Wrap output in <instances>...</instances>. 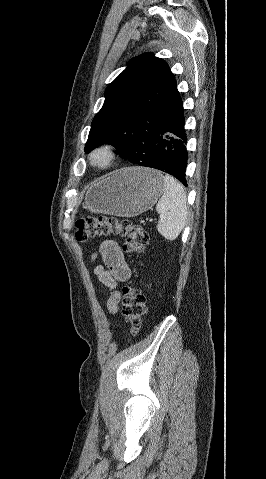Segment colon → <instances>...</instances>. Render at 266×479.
<instances>
[{
  "label": "colon",
  "instance_id": "5ec220e1",
  "mask_svg": "<svg viewBox=\"0 0 266 479\" xmlns=\"http://www.w3.org/2000/svg\"><path fill=\"white\" fill-rule=\"evenodd\" d=\"M75 239L78 242L121 236L125 238L123 249L137 255L143 252L148 242V233L140 224L130 220H118L114 217H86L79 218L75 223ZM146 313V297L135 285L128 284L123 288V315L127 326L132 333L136 332Z\"/></svg>",
  "mask_w": 266,
  "mask_h": 479
}]
</instances>
